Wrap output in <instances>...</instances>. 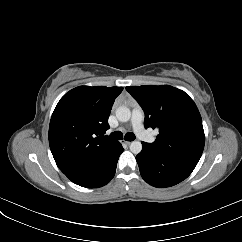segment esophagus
I'll list each match as a JSON object with an SVG mask.
<instances>
[{
  "label": "esophagus",
  "mask_w": 242,
  "mask_h": 242,
  "mask_svg": "<svg viewBox=\"0 0 242 242\" xmlns=\"http://www.w3.org/2000/svg\"><path fill=\"white\" fill-rule=\"evenodd\" d=\"M123 143L126 144V145H130L131 144V141L123 140Z\"/></svg>",
  "instance_id": "1"
}]
</instances>
